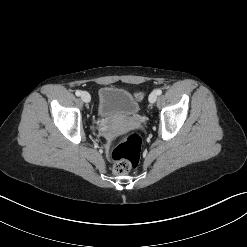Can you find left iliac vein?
Here are the masks:
<instances>
[{"label":"left iliac vein","mask_w":247,"mask_h":247,"mask_svg":"<svg viewBox=\"0 0 247 247\" xmlns=\"http://www.w3.org/2000/svg\"><path fill=\"white\" fill-rule=\"evenodd\" d=\"M157 100V93L156 91L151 92V94L149 95V102L150 103H155Z\"/></svg>","instance_id":"4c4485c4"}]
</instances>
